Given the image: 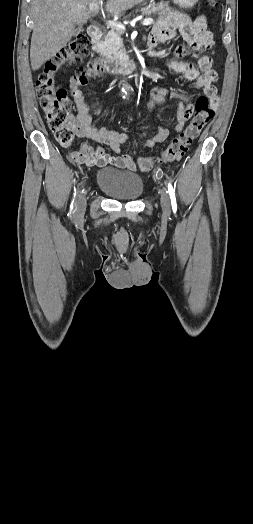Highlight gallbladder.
Returning a JSON list of instances; mask_svg holds the SVG:
<instances>
[{"mask_svg":"<svg viewBox=\"0 0 253 524\" xmlns=\"http://www.w3.org/2000/svg\"><path fill=\"white\" fill-rule=\"evenodd\" d=\"M81 29H82L81 27H78V28L76 29V32H75V33H79V32L81 31Z\"/></svg>","mask_w":253,"mask_h":524,"instance_id":"gallbladder-1","label":"gallbladder"}]
</instances>
